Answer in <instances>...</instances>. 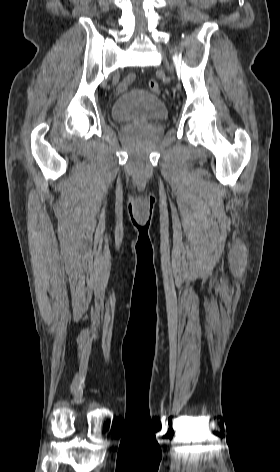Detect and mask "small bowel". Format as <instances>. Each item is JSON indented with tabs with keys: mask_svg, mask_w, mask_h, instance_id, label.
Here are the masks:
<instances>
[{
	"mask_svg": "<svg viewBox=\"0 0 280 472\" xmlns=\"http://www.w3.org/2000/svg\"><path fill=\"white\" fill-rule=\"evenodd\" d=\"M135 80L134 74H129L120 84L119 88L121 91L126 90Z\"/></svg>",
	"mask_w": 280,
	"mask_h": 472,
	"instance_id": "c3829d8e",
	"label": "small bowel"
}]
</instances>
